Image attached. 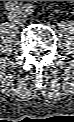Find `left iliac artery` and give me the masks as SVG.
Returning a JSON list of instances; mask_svg holds the SVG:
<instances>
[{
	"label": "left iliac artery",
	"mask_w": 74,
	"mask_h": 122,
	"mask_svg": "<svg viewBox=\"0 0 74 122\" xmlns=\"http://www.w3.org/2000/svg\"><path fill=\"white\" fill-rule=\"evenodd\" d=\"M24 11H25L27 14H31V13L34 11V7H33L31 4H27V5H25V7H24Z\"/></svg>",
	"instance_id": "44dca946"
}]
</instances>
